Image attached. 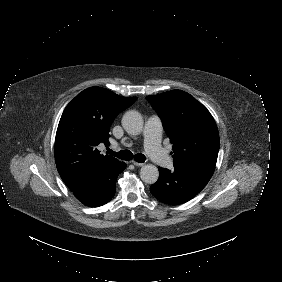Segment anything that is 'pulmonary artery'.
I'll use <instances>...</instances> for the list:
<instances>
[{"label": "pulmonary artery", "mask_w": 282, "mask_h": 282, "mask_svg": "<svg viewBox=\"0 0 282 282\" xmlns=\"http://www.w3.org/2000/svg\"><path fill=\"white\" fill-rule=\"evenodd\" d=\"M162 124L159 118L153 116L149 118L144 126V148L148 156L152 160H156V164L160 168H167L171 164V157L164 153L161 147Z\"/></svg>", "instance_id": "pulmonary-artery-1"}]
</instances>
